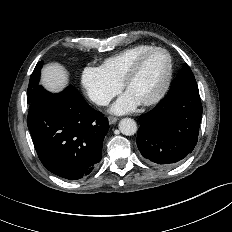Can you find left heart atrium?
Here are the masks:
<instances>
[{
  "instance_id": "left-heart-atrium-1",
  "label": "left heart atrium",
  "mask_w": 232,
  "mask_h": 232,
  "mask_svg": "<svg viewBox=\"0 0 232 232\" xmlns=\"http://www.w3.org/2000/svg\"><path fill=\"white\" fill-rule=\"evenodd\" d=\"M140 102L128 92L124 93L111 107V111L122 114L133 110Z\"/></svg>"
}]
</instances>
